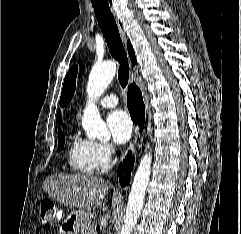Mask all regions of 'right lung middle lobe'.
Masks as SVG:
<instances>
[{
	"label": "right lung middle lobe",
	"mask_w": 241,
	"mask_h": 234,
	"mask_svg": "<svg viewBox=\"0 0 241 234\" xmlns=\"http://www.w3.org/2000/svg\"><path fill=\"white\" fill-rule=\"evenodd\" d=\"M65 143L64 135L61 131H58V151H60Z\"/></svg>",
	"instance_id": "obj_1"
}]
</instances>
